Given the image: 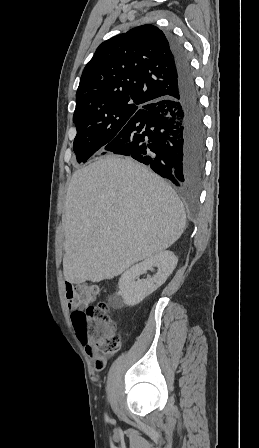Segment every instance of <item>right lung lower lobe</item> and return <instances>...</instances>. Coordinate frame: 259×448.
Masks as SVG:
<instances>
[{"label":"right lung lower lobe","mask_w":259,"mask_h":448,"mask_svg":"<svg viewBox=\"0 0 259 448\" xmlns=\"http://www.w3.org/2000/svg\"><path fill=\"white\" fill-rule=\"evenodd\" d=\"M177 70L176 91L135 114L103 150L131 156L178 187L202 178L205 131L189 60L180 42L166 33Z\"/></svg>","instance_id":"98d812e1"}]
</instances>
